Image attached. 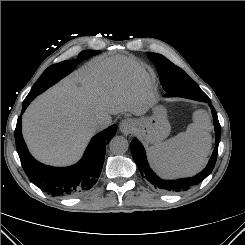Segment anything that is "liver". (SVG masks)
<instances>
[{
    "label": "liver",
    "instance_id": "1",
    "mask_svg": "<svg viewBox=\"0 0 245 245\" xmlns=\"http://www.w3.org/2000/svg\"><path fill=\"white\" fill-rule=\"evenodd\" d=\"M135 60L115 55L100 58L38 96L23 115V136L39 161L69 165L82 155L98 130L100 118L148 110V89ZM105 127V126H104Z\"/></svg>",
    "mask_w": 245,
    "mask_h": 245
}]
</instances>
